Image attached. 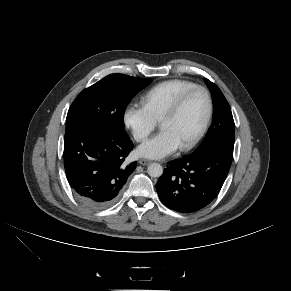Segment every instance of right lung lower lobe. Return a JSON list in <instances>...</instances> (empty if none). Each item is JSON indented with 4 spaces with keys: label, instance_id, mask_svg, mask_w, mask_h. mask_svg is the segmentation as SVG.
I'll list each match as a JSON object with an SVG mask.
<instances>
[{
    "label": "right lung lower lobe",
    "instance_id": "right-lung-lower-lobe-1",
    "mask_svg": "<svg viewBox=\"0 0 291 291\" xmlns=\"http://www.w3.org/2000/svg\"><path fill=\"white\" fill-rule=\"evenodd\" d=\"M133 143L125 131L77 128L66 131L64 166L68 182L86 206L111 205L122 191L137 162L125 159Z\"/></svg>",
    "mask_w": 291,
    "mask_h": 291
}]
</instances>
